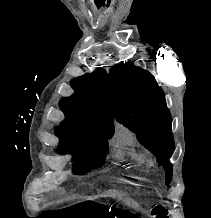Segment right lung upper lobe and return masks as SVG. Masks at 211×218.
<instances>
[{
  "instance_id": "right-lung-upper-lobe-1",
  "label": "right lung upper lobe",
  "mask_w": 211,
  "mask_h": 218,
  "mask_svg": "<svg viewBox=\"0 0 211 218\" xmlns=\"http://www.w3.org/2000/svg\"><path fill=\"white\" fill-rule=\"evenodd\" d=\"M76 93L60 101L64 124L113 134V116L107 74L102 68L71 81Z\"/></svg>"
}]
</instances>
